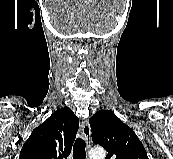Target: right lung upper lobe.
Returning a JSON list of instances; mask_svg holds the SVG:
<instances>
[{
  "instance_id": "obj_1",
  "label": "right lung upper lobe",
  "mask_w": 173,
  "mask_h": 159,
  "mask_svg": "<svg viewBox=\"0 0 173 159\" xmlns=\"http://www.w3.org/2000/svg\"><path fill=\"white\" fill-rule=\"evenodd\" d=\"M78 123L69 107L58 109L33 130L21 149L19 159H66L71 152Z\"/></svg>"
}]
</instances>
